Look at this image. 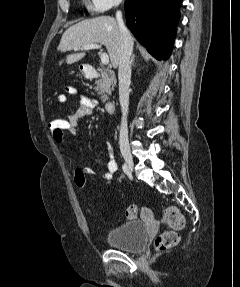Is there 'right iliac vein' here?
<instances>
[{
    "label": "right iliac vein",
    "mask_w": 240,
    "mask_h": 287,
    "mask_svg": "<svg viewBox=\"0 0 240 287\" xmlns=\"http://www.w3.org/2000/svg\"><path fill=\"white\" fill-rule=\"evenodd\" d=\"M122 156L127 164L128 170L132 172L134 168V162H133V157L129 149H123Z\"/></svg>",
    "instance_id": "1"
}]
</instances>
